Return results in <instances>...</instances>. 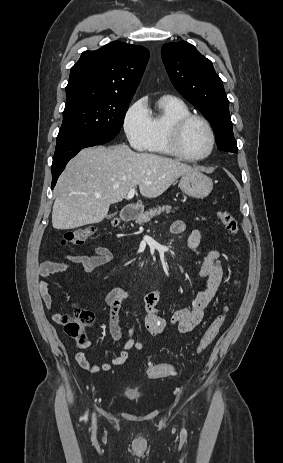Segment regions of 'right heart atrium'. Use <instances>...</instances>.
Masks as SVG:
<instances>
[{
  "mask_svg": "<svg viewBox=\"0 0 283 463\" xmlns=\"http://www.w3.org/2000/svg\"><path fill=\"white\" fill-rule=\"evenodd\" d=\"M123 129L131 147L136 150L145 149L150 135V119L144 100H136L126 110Z\"/></svg>",
  "mask_w": 283,
  "mask_h": 463,
  "instance_id": "right-heart-atrium-1",
  "label": "right heart atrium"
}]
</instances>
